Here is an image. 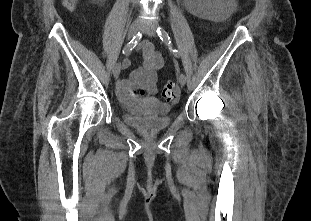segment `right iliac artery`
<instances>
[{
    "instance_id": "1",
    "label": "right iliac artery",
    "mask_w": 311,
    "mask_h": 221,
    "mask_svg": "<svg viewBox=\"0 0 311 221\" xmlns=\"http://www.w3.org/2000/svg\"><path fill=\"white\" fill-rule=\"evenodd\" d=\"M142 32H138L132 40L124 47L123 54L128 55L135 48V46L140 42L142 38Z\"/></svg>"
}]
</instances>
